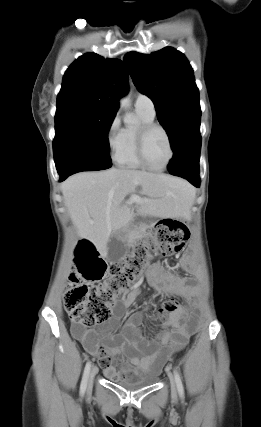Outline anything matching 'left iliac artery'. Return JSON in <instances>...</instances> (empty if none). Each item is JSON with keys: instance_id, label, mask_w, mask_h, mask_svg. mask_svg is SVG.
<instances>
[{"instance_id": "left-iliac-artery-1", "label": "left iliac artery", "mask_w": 261, "mask_h": 427, "mask_svg": "<svg viewBox=\"0 0 261 427\" xmlns=\"http://www.w3.org/2000/svg\"><path fill=\"white\" fill-rule=\"evenodd\" d=\"M174 377H175L178 393H179L180 397L183 398L184 397V388H183L181 377H180L179 373L177 372V370H174Z\"/></svg>"}]
</instances>
